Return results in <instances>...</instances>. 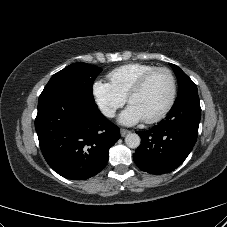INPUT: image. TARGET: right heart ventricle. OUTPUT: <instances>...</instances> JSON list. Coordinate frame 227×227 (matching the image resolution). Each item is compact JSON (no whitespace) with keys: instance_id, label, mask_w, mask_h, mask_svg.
Instances as JSON below:
<instances>
[{"instance_id":"obj_1","label":"right heart ventricle","mask_w":227,"mask_h":227,"mask_svg":"<svg viewBox=\"0 0 227 227\" xmlns=\"http://www.w3.org/2000/svg\"><path fill=\"white\" fill-rule=\"evenodd\" d=\"M155 68L146 63H129L119 66L108 73L112 87L123 97H126L133 84L146 72Z\"/></svg>"}]
</instances>
